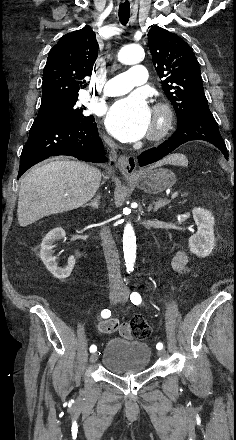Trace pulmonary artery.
Segmentation results:
<instances>
[{
    "mask_svg": "<svg viewBox=\"0 0 236 440\" xmlns=\"http://www.w3.org/2000/svg\"><path fill=\"white\" fill-rule=\"evenodd\" d=\"M147 81V69L143 65H134L126 72L110 78L105 85L104 94L107 96L123 95Z\"/></svg>",
    "mask_w": 236,
    "mask_h": 440,
    "instance_id": "pulmonary-artery-1",
    "label": "pulmonary artery"
}]
</instances>
